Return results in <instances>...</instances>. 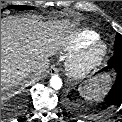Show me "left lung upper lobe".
<instances>
[{
  "label": "left lung upper lobe",
  "instance_id": "left-lung-upper-lobe-1",
  "mask_svg": "<svg viewBox=\"0 0 122 122\" xmlns=\"http://www.w3.org/2000/svg\"><path fill=\"white\" fill-rule=\"evenodd\" d=\"M122 53V35L117 33L114 43V54Z\"/></svg>",
  "mask_w": 122,
  "mask_h": 122
}]
</instances>
